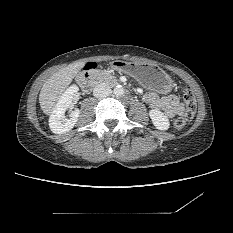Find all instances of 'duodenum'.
Returning a JSON list of instances; mask_svg holds the SVG:
<instances>
[{
    "label": "duodenum",
    "mask_w": 233,
    "mask_h": 233,
    "mask_svg": "<svg viewBox=\"0 0 233 233\" xmlns=\"http://www.w3.org/2000/svg\"><path fill=\"white\" fill-rule=\"evenodd\" d=\"M79 84L85 89L90 90L97 82L98 79L93 75V70H84L79 78H78ZM115 85L121 84L120 81H116L114 83Z\"/></svg>",
    "instance_id": "410a0bca"
}]
</instances>
